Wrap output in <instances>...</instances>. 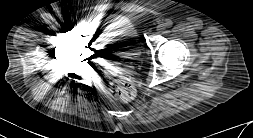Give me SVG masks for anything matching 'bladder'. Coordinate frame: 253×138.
<instances>
[{
    "mask_svg": "<svg viewBox=\"0 0 253 138\" xmlns=\"http://www.w3.org/2000/svg\"><path fill=\"white\" fill-rule=\"evenodd\" d=\"M136 28L130 21L110 19L103 26L99 40L105 47H117L129 59H136L141 50L134 45Z\"/></svg>",
    "mask_w": 253,
    "mask_h": 138,
    "instance_id": "31cf9c89",
    "label": "bladder"
}]
</instances>
